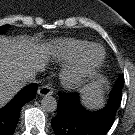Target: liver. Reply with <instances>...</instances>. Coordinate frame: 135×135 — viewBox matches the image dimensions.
Returning <instances> with one entry per match:
<instances>
[{
	"label": "liver",
	"instance_id": "6515ba94",
	"mask_svg": "<svg viewBox=\"0 0 135 135\" xmlns=\"http://www.w3.org/2000/svg\"><path fill=\"white\" fill-rule=\"evenodd\" d=\"M50 52L24 37L0 36V108L6 105L26 84L30 71H42Z\"/></svg>",
	"mask_w": 135,
	"mask_h": 135
}]
</instances>
